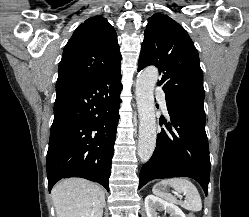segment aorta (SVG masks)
Here are the masks:
<instances>
[{
    "label": "aorta",
    "mask_w": 249,
    "mask_h": 217,
    "mask_svg": "<svg viewBox=\"0 0 249 217\" xmlns=\"http://www.w3.org/2000/svg\"><path fill=\"white\" fill-rule=\"evenodd\" d=\"M159 73L156 67H147L136 80V102L139 113V138L137 154L141 162H147L156 146V117L154 88Z\"/></svg>",
    "instance_id": "762f6f07"
}]
</instances>
